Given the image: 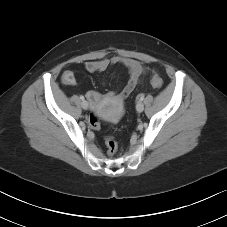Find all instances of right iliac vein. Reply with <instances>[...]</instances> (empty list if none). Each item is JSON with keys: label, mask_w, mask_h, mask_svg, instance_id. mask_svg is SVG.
I'll list each match as a JSON object with an SVG mask.
<instances>
[{"label": "right iliac vein", "mask_w": 227, "mask_h": 227, "mask_svg": "<svg viewBox=\"0 0 227 227\" xmlns=\"http://www.w3.org/2000/svg\"><path fill=\"white\" fill-rule=\"evenodd\" d=\"M81 106H82V108L83 109H88V102L87 101H83L82 103H81Z\"/></svg>", "instance_id": "obj_1"}]
</instances>
